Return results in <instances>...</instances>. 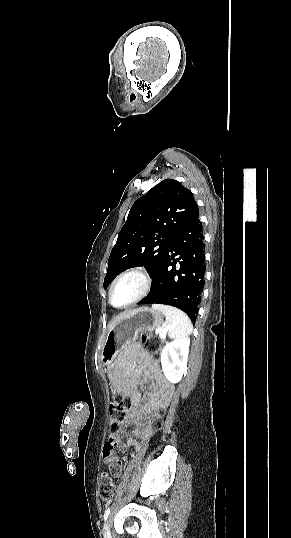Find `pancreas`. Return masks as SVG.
<instances>
[{"mask_svg":"<svg viewBox=\"0 0 291 538\" xmlns=\"http://www.w3.org/2000/svg\"><path fill=\"white\" fill-rule=\"evenodd\" d=\"M160 338H161V343H164V342H165V339H166V337H161V336H160Z\"/></svg>","mask_w":291,"mask_h":538,"instance_id":"obj_1","label":"pancreas"}]
</instances>
